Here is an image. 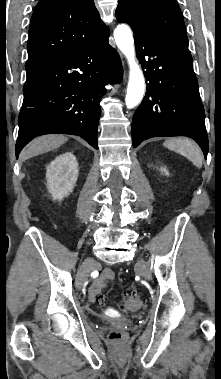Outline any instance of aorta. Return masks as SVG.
<instances>
[{
	"instance_id": "1",
	"label": "aorta",
	"mask_w": 221,
	"mask_h": 379,
	"mask_svg": "<svg viewBox=\"0 0 221 379\" xmlns=\"http://www.w3.org/2000/svg\"><path fill=\"white\" fill-rule=\"evenodd\" d=\"M114 38L118 48L125 55L129 64L130 72L125 103L127 108L131 109L137 106L143 99L145 92L144 76L136 59L131 29L126 24H119L114 30Z\"/></svg>"
}]
</instances>
